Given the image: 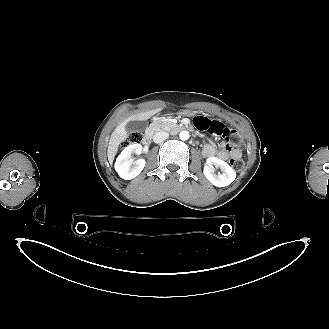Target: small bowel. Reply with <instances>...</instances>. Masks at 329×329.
I'll list each match as a JSON object with an SVG mask.
<instances>
[{"label":"small bowel","mask_w":329,"mask_h":329,"mask_svg":"<svg viewBox=\"0 0 329 329\" xmlns=\"http://www.w3.org/2000/svg\"><path fill=\"white\" fill-rule=\"evenodd\" d=\"M191 124L193 128L203 132L206 135H217L224 143H227L230 140V135L233 132L232 127L227 125L226 122H219L217 119H210L204 115H197L193 117ZM203 154L206 157H216L222 161H225L228 158H239L241 156V152L239 150L231 149L225 144L217 150L215 145L212 143H208L204 146Z\"/></svg>","instance_id":"c3829d8e"}]
</instances>
